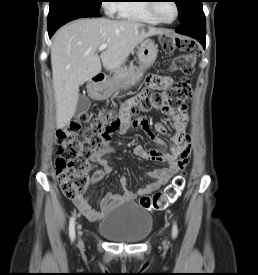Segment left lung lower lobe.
I'll list each match as a JSON object with an SVG mask.
<instances>
[{
    "instance_id": "obj_1",
    "label": "left lung lower lobe",
    "mask_w": 258,
    "mask_h": 275,
    "mask_svg": "<svg viewBox=\"0 0 258 275\" xmlns=\"http://www.w3.org/2000/svg\"><path fill=\"white\" fill-rule=\"evenodd\" d=\"M176 31L195 38L205 47L206 19L202 10V0H198L191 6L186 18L181 21Z\"/></svg>"
}]
</instances>
